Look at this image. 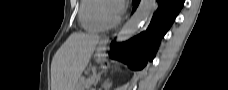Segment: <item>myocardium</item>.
<instances>
[{
    "label": "myocardium",
    "instance_id": "1",
    "mask_svg": "<svg viewBox=\"0 0 228 90\" xmlns=\"http://www.w3.org/2000/svg\"><path fill=\"white\" fill-rule=\"evenodd\" d=\"M108 4H111L114 6L113 1L102 0V2L100 3V5L98 6V9H97V18L105 28H112V27L117 26L120 23L121 18H120V16H117L114 19L109 20L105 17L104 8Z\"/></svg>",
    "mask_w": 228,
    "mask_h": 90
}]
</instances>
